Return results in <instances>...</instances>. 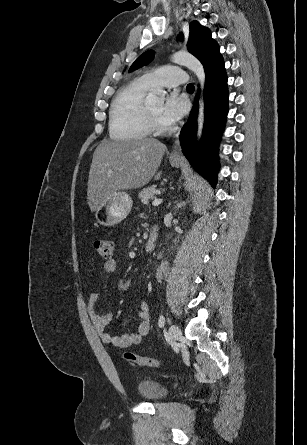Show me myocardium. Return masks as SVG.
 <instances>
[{"label": "myocardium", "mask_w": 307, "mask_h": 445, "mask_svg": "<svg viewBox=\"0 0 307 445\" xmlns=\"http://www.w3.org/2000/svg\"><path fill=\"white\" fill-rule=\"evenodd\" d=\"M145 114L150 126V129L157 133H165L172 130V128L169 125L162 124L152 113L149 104L145 102ZM152 139H158L157 137H153Z\"/></svg>", "instance_id": "myocardium-1"}]
</instances>
